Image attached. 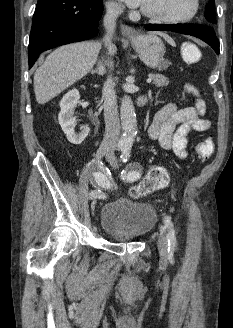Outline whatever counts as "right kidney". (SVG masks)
Returning <instances> with one entry per match:
<instances>
[{"instance_id": "right-kidney-1", "label": "right kidney", "mask_w": 233, "mask_h": 328, "mask_svg": "<svg viewBox=\"0 0 233 328\" xmlns=\"http://www.w3.org/2000/svg\"><path fill=\"white\" fill-rule=\"evenodd\" d=\"M79 99V91L72 89L63 96L59 103L61 108L58 115L59 124L68 141L72 144H81L90 131V128L87 126L83 127L80 132H75L74 130L77 120L73 114Z\"/></svg>"}]
</instances>
